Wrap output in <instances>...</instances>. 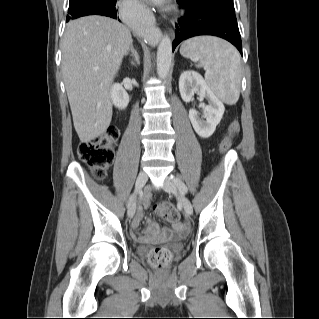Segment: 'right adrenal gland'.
Segmentation results:
<instances>
[{"instance_id": "obj_1", "label": "right adrenal gland", "mask_w": 319, "mask_h": 319, "mask_svg": "<svg viewBox=\"0 0 319 319\" xmlns=\"http://www.w3.org/2000/svg\"><path fill=\"white\" fill-rule=\"evenodd\" d=\"M129 52L131 53V56L134 59V62L133 61L131 62L132 65H136V64L140 65V57H139L137 50H135V48L133 47V44H131Z\"/></svg>"}]
</instances>
